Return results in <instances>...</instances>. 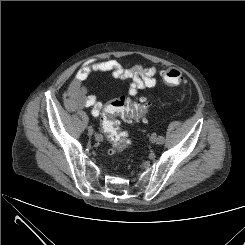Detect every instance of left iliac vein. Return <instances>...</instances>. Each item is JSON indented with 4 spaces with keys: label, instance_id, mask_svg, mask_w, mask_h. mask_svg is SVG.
Instances as JSON below:
<instances>
[{
    "label": "left iliac vein",
    "instance_id": "left-iliac-vein-1",
    "mask_svg": "<svg viewBox=\"0 0 245 245\" xmlns=\"http://www.w3.org/2000/svg\"><path fill=\"white\" fill-rule=\"evenodd\" d=\"M150 141H151L152 143H157V135H156L155 133H153V134L151 135Z\"/></svg>",
    "mask_w": 245,
    "mask_h": 245
}]
</instances>
